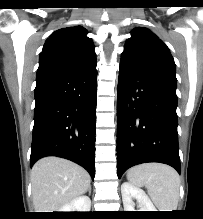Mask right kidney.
Segmentation results:
<instances>
[{"label": "right kidney", "instance_id": "right-kidney-1", "mask_svg": "<svg viewBox=\"0 0 203 219\" xmlns=\"http://www.w3.org/2000/svg\"><path fill=\"white\" fill-rule=\"evenodd\" d=\"M91 200L88 196H79L62 206L59 212H90Z\"/></svg>", "mask_w": 203, "mask_h": 219}]
</instances>
